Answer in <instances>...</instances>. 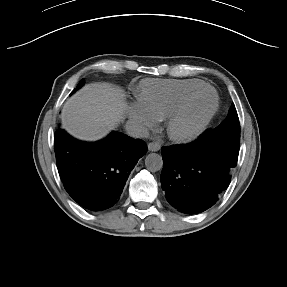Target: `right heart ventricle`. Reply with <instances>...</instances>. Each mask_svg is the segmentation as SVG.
<instances>
[{
  "mask_svg": "<svg viewBox=\"0 0 287 287\" xmlns=\"http://www.w3.org/2000/svg\"><path fill=\"white\" fill-rule=\"evenodd\" d=\"M206 85L201 80H162L145 79L141 81L137 93L138 103L156 121L169 117L178 103L192 90Z\"/></svg>",
  "mask_w": 287,
  "mask_h": 287,
  "instance_id": "1",
  "label": "right heart ventricle"
}]
</instances>
